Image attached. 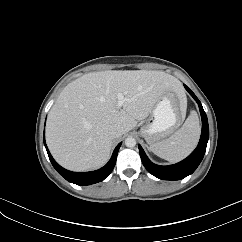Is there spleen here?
I'll return each instance as SVG.
<instances>
[{
  "instance_id": "spleen-1",
  "label": "spleen",
  "mask_w": 242,
  "mask_h": 242,
  "mask_svg": "<svg viewBox=\"0 0 242 242\" xmlns=\"http://www.w3.org/2000/svg\"><path fill=\"white\" fill-rule=\"evenodd\" d=\"M197 113L191 111L182 127L171 137L150 146V150L169 162H177L188 156L196 147L200 137Z\"/></svg>"
}]
</instances>
